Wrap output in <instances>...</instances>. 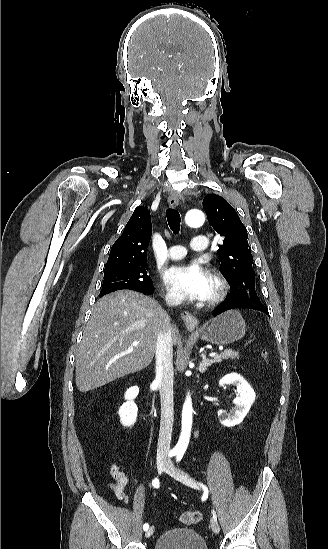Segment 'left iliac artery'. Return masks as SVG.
I'll use <instances>...</instances> for the list:
<instances>
[{"label":"left iliac artery","mask_w":328,"mask_h":549,"mask_svg":"<svg viewBox=\"0 0 328 549\" xmlns=\"http://www.w3.org/2000/svg\"><path fill=\"white\" fill-rule=\"evenodd\" d=\"M181 459H182V457H178V456L176 457V461H177V462H179ZM200 485L203 487L204 491L208 493L207 487L204 486L203 484H200ZM213 517H214V519H216V515H215V512H214V511H213Z\"/></svg>","instance_id":"obj_1"}]
</instances>
